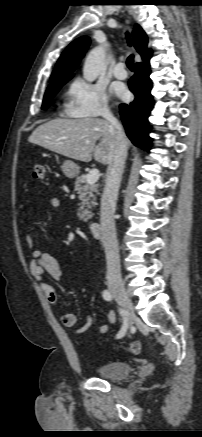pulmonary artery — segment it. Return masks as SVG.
Listing matches in <instances>:
<instances>
[{
    "label": "pulmonary artery",
    "mask_w": 202,
    "mask_h": 437,
    "mask_svg": "<svg viewBox=\"0 0 202 437\" xmlns=\"http://www.w3.org/2000/svg\"><path fill=\"white\" fill-rule=\"evenodd\" d=\"M113 74H114V76H115L117 79H121V80L125 79V78L127 77V72H126V70H125V65H124V63L119 62V63L115 66L114 71H113Z\"/></svg>",
    "instance_id": "pulmonary-artery-1"
}]
</instances>
